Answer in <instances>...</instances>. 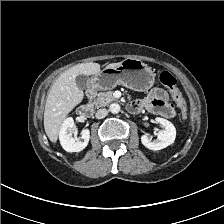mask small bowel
Segmentation results:
<instances>
[{"label":"small bowel","mask_w":224,"mask_h":224,"mask_svg":"<svg viewBox=\"0 0 224 224\" xmlns=\"http://www.w3.org/2000/svg\"><path fill=\"white\" fill-rule=\"evenodd\" d=\"M141 108H145L162 117L169 118L175 115V111L168 103L167 93L160 89H153L150 94L142 100L135 101Z\"/></svg>","instance_id":"1"}]
</instances>
